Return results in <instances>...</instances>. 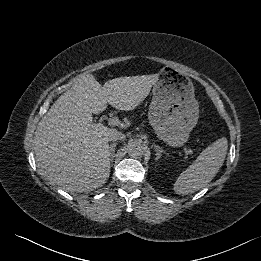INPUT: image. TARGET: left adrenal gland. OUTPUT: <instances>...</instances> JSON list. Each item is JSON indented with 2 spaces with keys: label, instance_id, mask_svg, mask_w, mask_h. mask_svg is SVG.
<instances>
[{
  "label": "left adrenal gland",
  "instance_id": "a2214340",
  "mask_svg": "<svg viewBox=\"0 0 261 261\" xmlns=\"http://www.w3.org/2000/svg\"><path fill=\"white\" fill-rule=\"evenodd\" d=\"M154 148L156 150V160L160 159V157L163 153L166 154V152L164 150H162V148L160 146L154 145Z\"/></svg>",
  "mask_w": 261,
  "mask_h": 261
}]
</instances>
